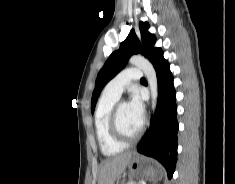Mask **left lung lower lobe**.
I'll return each instance as SVG.
<instances>
[{"label":"left lung lower lobe","instance_id":"obj_1","mask_svg":"<svg viewBox=\"0 0 235 184\" xmlns=\"http://www.w3.org/2000/svg\"><path fill=\"white\" fill-rule=\"evenodd\" d=\"M150 62L158 81V102L149 131L141 139L137 151L157 159L171 179L177 162V107L176 92L169 63L163 58V51L156 49Z\"/></svg>","mask_w":235,"mask_h":184}]
</instances>
